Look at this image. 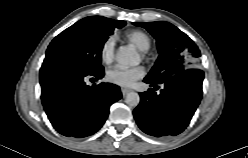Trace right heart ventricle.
Masks as SVG:
<instances>
[{"mask_svg":"<svg viewBox=\"0 0 248 158\" xmlns=\"http://www.w3.org/2000/svg\"><path fill=\"white\" fill-rule=\"evenodd\" d=\"M125 37L131 42L137 49L145 51L150 47V39L142 31L133 30L125 34Z\"/></svg>","mask_w":248,"mask_h":158,"instance_id":"right-heart-ventricle-1","label":"right heart ventricle"}]
</instances>
